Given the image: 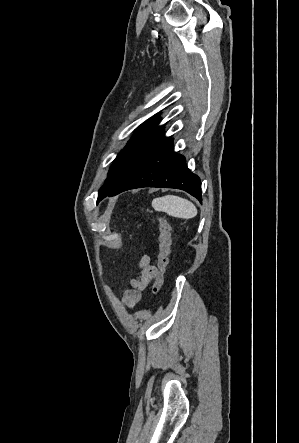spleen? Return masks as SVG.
<instances>
[{"label": "spleen", "instance_id": "1", "mask_svg": "<svg viewBox=\"0 0 299 443\" xmlns=\"http://www.w3.org/2000/svg\"><path fill=\"white\" fill-rule=\"evenodd\" d=\"M152 207L158 212H165L170 216L183 219L193 218L198 213L197 208L192 202L175 195H166L153 199Z\"/></svg>", "mask_w": 299, "mask_h": 443}]
</instances>
